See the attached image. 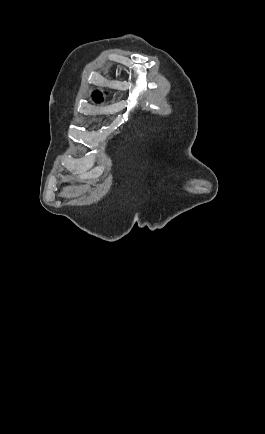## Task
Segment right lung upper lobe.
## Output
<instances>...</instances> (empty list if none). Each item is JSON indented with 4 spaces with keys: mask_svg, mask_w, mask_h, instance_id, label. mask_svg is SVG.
I'll return each instance as SVG.
<instances>
[{
    "mask_svg": "<svg viewBox=\"0 0 265 434\" xmlns=\"http://www.w3.org/2000/svg\"><path fill=\"white\" fill-rule=\"evenodd\" d=\"M93 97H97V98H101V99L103 98L102 94L100 92H94Z\"/></svg>",
    "mask_w": 265,
    "mask_h": 434,
    "instance_id": "cb5924a9",
    "label": "right lung upper lobe"
}]
</instances>
